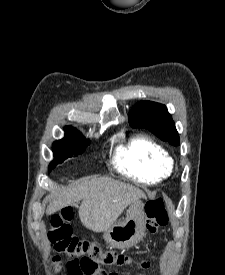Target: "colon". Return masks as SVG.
<instances>
[{
  "label": "colon",
  "instance_id": "obj_1",
  "mask_svg": "<svg viewBox=\"0 0 225 275\" xmlns=\"http://www.w3.org/2000/svg\"><path fill=\"white\" fill-rule=\"evenodd\" d=\"M146 227L149 233L155 234L159 228L166 226L169 222V215L162 199H154L147 203ZM72 218V211L64 209L60 214L54 215L50 221L48 238L51 244L58 250L69 255L79 257L70 261L67 265L70 275H98V265L110 267H123L132 263L129 255L116 251L105 250L100 245L79 238L72 233L69 221ZM145 262L142 266H145ZM53 268L60 271L61 260L54 258ZM109 275H117L114 272Z\"/></svg>",
  "mask_w": 225,
  "mask_h": 275
}]
</instances>
